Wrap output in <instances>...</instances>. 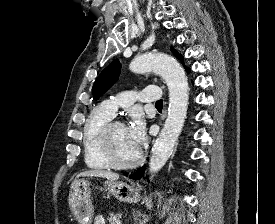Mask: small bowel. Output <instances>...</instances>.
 I'll return each instance as SVG.
<instances>
[{"label": "small bowel", "instance_id": "1", "mask_svg": "<svg viewBox=\"0 0 275 224\" xmlns=\"http://www.w3.org/2000/svg\"><path fill=\"white\" fill-rule=\"evenodd\" d=\"M95 224H105V219L102 215H98L95 219Z\"/></svg>", "mask_w": 275, "mask_h": 224}]
</instances>
